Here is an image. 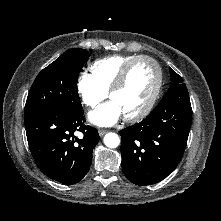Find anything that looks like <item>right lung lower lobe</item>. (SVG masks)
<instances>
[{
	"mask_svg": "<svg viewBox=\"0 0 221 221\" xmlns=\"http://www.w3.org/2000/svg\"><path fill=\"white\" fill-rule=\"evenodd\" d=\"M83 113L47 109L24 119L29 148L38 168L47 177L65 185L84 178L99 141L97 130L84 124ZM77 131L83 136L76 137Z\"/></svg>",
	"mask_w": 221,
	"mask_h": 221,
	"instance_id": "right-lung-lower-lobe-1",
	"label": "right lung lower lobe"
}]
</instances>
